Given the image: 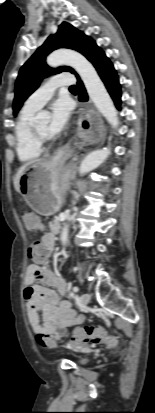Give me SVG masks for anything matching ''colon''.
Here are the masks:
<instances>
[{
	"mask_svg": "<svg viewBox=\"0 0 155 413\" xmlns=\"http://www.w3.org/2000/svg\"><path fill=\"white\" fill-rule=\"evenodd\" d=\"M29 257L36 263H42L46 259V249L41 243H35L31 246ZM73 347L76 349L83 348L87 344L104 345L112 348L117 345V337L99 326L86 325L74 331L72 335ZM38 343L46 348H52L55 341L46 336L37 337Z\"/></svg>",
	"mask_w": 155,
	"mask_h": 413,
	"instance_id": "5ec220e1",
	"label": "colon"
}]
</instances>
